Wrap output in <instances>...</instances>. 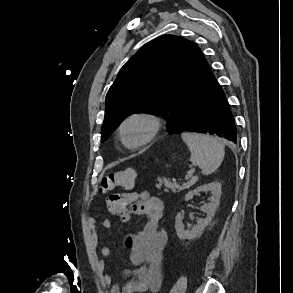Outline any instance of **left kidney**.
I'll return each mask as SVG.
<instances>
[{
    "mask_svg": "<svg viewBox=\"0 0 293 293\" xmlns=\"http://www.w3.org/2000/svg\"><path fill=\"white\" fill-rule=\"evenodd\" d=\"M221 183L220 182H212L208 184L201 185L194 190L189 191L184 200H191L196 194L200 192L210 191L212 194L211 200L209 203L204 204L202 206V210L206 214L205 218L199 219L197 221V225L192 229H185L183 224V211L179 212L175 217V229L176 234L181 240H193L197 236H199L203 230L209 225L211 222L216 209L219 206V200L221 197Z\"/></svg>",
    "mask_w": 293,
    "mask_h": 293,
    "instance_id": "5707ae66",
    "label": "left kidney"
}]
</instances>
